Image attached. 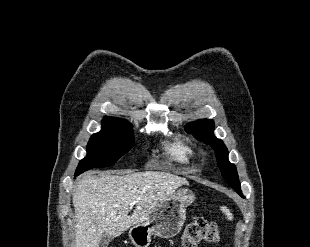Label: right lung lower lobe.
<instances>
[{
  "label": "right lung lower lobe",
  "mask_w": 310,
  "mask_h": 247,
  "mask_svg": "<svg viewBox=\"0 0 310 247\" xmlns=\"http://www.w3.org/2000/svg\"><path fill=\"white\" fill-rule=\"evenodd\" d=\"M79 174H81V173L76 172V173H75V176H77V175H79Z\"/></svg>",
  "instance_id": "98d812e1"
}]
</instances>
